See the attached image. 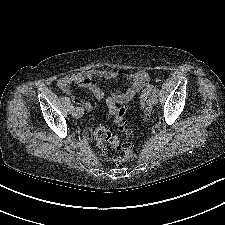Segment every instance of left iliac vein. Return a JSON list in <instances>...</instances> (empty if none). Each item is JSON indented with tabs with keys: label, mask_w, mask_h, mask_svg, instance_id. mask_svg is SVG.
Segmentation results:
<instances>
[{
	"label": "left iliac vein",
	"mask_w": 225,
	"mask_h": 225,
	"mask_svg": "<svg viewBox=\"0 0 225 225\" xmlns=\"http://www.w3.org/2000/svg\"><path fill=\"white\" fill-rule=\"evenodd\" d=\"M158 100H157V94L153 93L150 97V103L151 105L155 106L157 104Z\"/></svg>",
	"instance_id": "4c4485c4"
}]
</instances>
